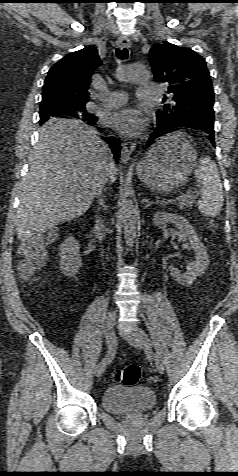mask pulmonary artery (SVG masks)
<instances>
[{
    "label": "pulmonary artery",
    "mask_w": 238,
    "mask_h": 476,
    "mask_svg": "<svg viewBox=\"0 0 238 476\" xmlns=\"http://www.w3.org/2000/svg\"><path fill=\"white\" fill-rule=\"evenodd\" d=\"M138 98L143 101H155L161 97V89L156 85H141L138 89ZM127 94L122 91H112L102 98L101 105L106 108H115L127 102Z\"/></svg>",
    "instance_id": "obj_1"
}]
</instances>
